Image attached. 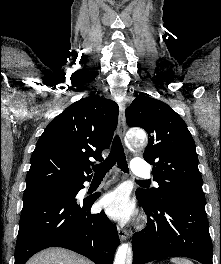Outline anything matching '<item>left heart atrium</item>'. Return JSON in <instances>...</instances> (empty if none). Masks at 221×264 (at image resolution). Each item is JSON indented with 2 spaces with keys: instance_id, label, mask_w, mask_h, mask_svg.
<instances>
[{
  "instance_id": "obj_1",
  "label": "left heart atrium",
  "mask_w": 221,
  "mask_h": 264,
  "mask_svg": "<svg viewBox=\"0 0 221 264\" xmlns=\"http://www.w3.org/2000/svg\"><path fill=\"white\" fill-rule=\"evenodd\" d=\"M100 205L110 218L117 221L127 222L134 214V204L122 187L105 193L100 200Z\"/></svg>"
}]
</instances>
